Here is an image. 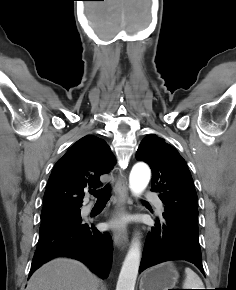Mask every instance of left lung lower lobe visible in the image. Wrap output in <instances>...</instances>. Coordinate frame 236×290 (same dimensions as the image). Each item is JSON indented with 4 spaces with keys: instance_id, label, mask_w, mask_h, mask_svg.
<instances>
[{
    "instance_id": "left-lung-lower-lobe-1",
    "label": "left lung lower lobe",
    "mask_w": 236,
    "mask_h": 290,
    "mask_svg": "<svg viewBox=\"0 0 236 290\" xmlns=\"http://www.w3.org/2000/svg\"><path fill=\"white\" fill-rule=\"evenodd\" d=\"M171 260L189 261L204 274L198 231L163 216L147 235L139 272Z\"/></svg>"
}]
</instances>
